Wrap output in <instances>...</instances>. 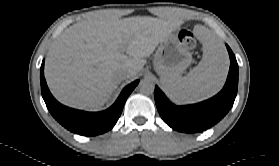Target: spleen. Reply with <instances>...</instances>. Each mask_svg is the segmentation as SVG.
Listing matches in <instances>:
<instances>
[{"instance_id":"obj_1","label":"spleen","mask_w":279,"mask_h":166,"mask_svg":"<svg viewBox=\"0 0 279 166\" xmlns=\"http://www.w3.org/2000/svg\"><path fill=\"white\" fill-rule=\"evenodd\" d=\"M197 37L203 44V57L186 76L161 81L176 100L197 102L216 94L228 72V56L223 44L208 29L202 28Z\"/></svg>"}]
</instances>
